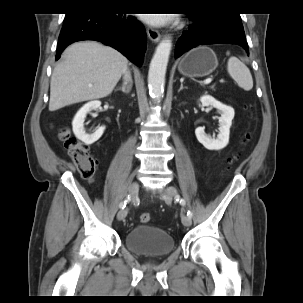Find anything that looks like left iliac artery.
I'll return each mask as SVG.
<instances>
[{
    "instance_id": "1",
    "label": "left iliac artery",
    "mask_w": 303,
    "mask_h": 303,
    "mask_svg": "<svg viewBox=\"0 0 303 303\" xmlns=\"http://www.w3.org/2000/svg\"><path fill=\"white\" fill-rule=\"evenodd\" d=\"M177 201H179V203L181 204V205H183V206H185V204H186V202H185V200L184 199H182V198H177ZM187 216H189L190 218L192 217V213H191V211H187Z\"/></svg>"
}]
</instances>
